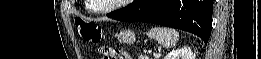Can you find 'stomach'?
I'll return each instance as SVG.
<instances>
[{"mask_svg":"<svg viewBox=\"0 0 261 59\" xmlns=\"http://www.w3.org/2000/svg\"><path fill=\"white\" fill-rule=\"evenodd\" d=\"M117 38L120 42H123L126 44L134 43L136 40L134 32L129 29L120 31L117 35Z\"/></svg>","mask_w":261,"mask_h":59,"instance_id":"1","label":"stomach"}]
</instances>
